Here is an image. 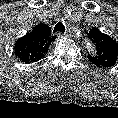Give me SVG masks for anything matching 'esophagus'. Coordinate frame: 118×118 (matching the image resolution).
I'll return each instance as SVG.
<instances>
[{"label": "esophagus", "mask_w": 118, "mask_h": 118, "mask_svg": "<svg viewBox=\"0 0 118 118\" xmlns=\"http://www.w3.org/2000/svg\"><path fill=\"white\" fill-rule=\"evenodd\" d=\"M69 35H70L69 32H66V33H64V34L61 33V32H58V33H57V36H58V37L69 36Z\"/></svg>", "instance_id": "34e87169"}]
</instances>
